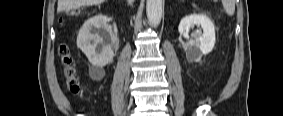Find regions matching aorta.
Returning <instances> with one entry per match:
<instances>
[{
	"instance_id": "aorta-1",
	"label": "aorta",
	"mask_w": 283,
	"mask_h": 116,
	"mask_svg": "<svg viewBox=\"0 0 283 116\" xmlns=\"http://www.w3.org/2000/svg\"><path fill=\"white\" fill-rule=\"evenodd\" d=\"M146 13L149 24L157 27L162 18V0H147Z\"/></svg>"
}]
</instances>
